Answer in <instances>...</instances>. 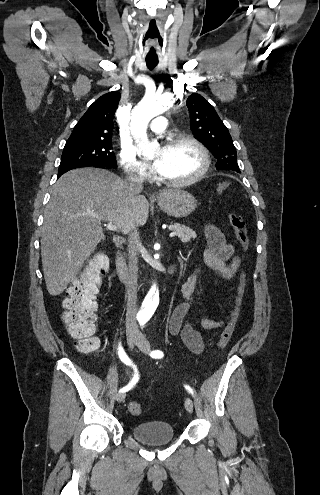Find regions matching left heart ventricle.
<instances>
[{
  "mask_svg": "<svg viewBox=\"0 0 320 495\" xmlns=\"http://www.w3.org/2000/svg\"><path fill=\"white\" fill-rule=\"evenodd\" d=\"M162 161L164 177L173 180H183L197 173L202 166L199 152L189 144H179L170 148H162L155 156Z\"/></svg>",
  "mask_w": 320,
  "mask_h": 495,
  "instance_id": "obj_1",
  "label": "left heart ventricle"
}]
</instances>
